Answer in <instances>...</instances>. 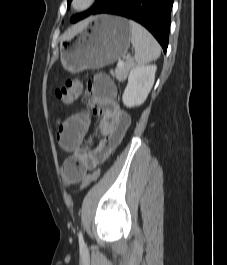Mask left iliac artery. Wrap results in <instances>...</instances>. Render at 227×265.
I'll return each instance as SVG.
<instances>
[{
    "mask_svg": "<svg viewBox=\"0 0 227 265\" xmlns=\"http://www.w3.org/2000/svg\"><path fill=\"white\" fill-rule=\"evenodd\" d=\"M78 237H79L80 243L83 244L84 243V240H83V235H82V232L81 231L79 232Z\"/></svg>",
    "mask_w": 227,
    "mask_h": 265,
    "instance_id": "left-iliac-artery-1",
    "label": "left iliac artery"
}]
</instances>
